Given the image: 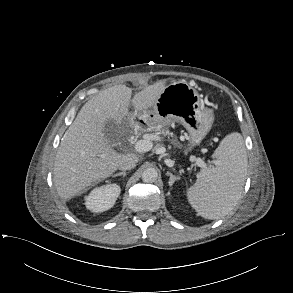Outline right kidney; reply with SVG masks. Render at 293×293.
<instances>
[{"instance_id": "ca27d5eb", "label": "right kidney", "mask_w": 293, "mask_h": 293, "mask_svg": "<svg viewBox=\"0 0 293 293\" xmlns=\"http://www.w3.org/2000/svg\"><path fill=\"white\" fill-rule=\"evenodd\" d=\"M120 192L117 184L96 187L86 196L85 205L92 212H104L114 206Z\"/></svg>"}]
</instances>
